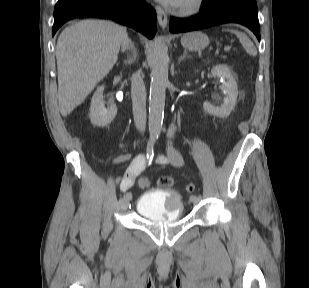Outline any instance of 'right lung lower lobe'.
I'll return each mask as SVG.
<instances>
[{"label":"right lung lower lobe","mask_w":309,"mask_h":288,"mask_svg":"<svg viewBox=\"0 0 309 288\" xmlns=\"http://www.w3.org/2000/svg\"><path fill=\"white\" fill-rule=\"evenodd\" d=\"M82 16L113 19L148 38L156 32L155 12L144 0H71L55 8L52 36L66 21Z\"/></svg>","instance_id":"98d812e1"}]
</instances>
